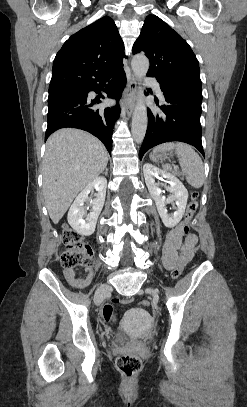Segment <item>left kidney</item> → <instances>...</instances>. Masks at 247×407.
Wrapping results in <instances>:
<instances>
[{
    "label": "left kidney",
    "mask_w": 247,
    "mask_h": 407,
    "mask_svg": "<svg viewBox=\"0 0 247 407\" xmlns=\"http://www.w3.org/2000/svg\"><path fill=\"white\" fill-rule=\"evenodd\" d=\"M143 172L149 193L156 203L157 210L163 224L168 228L176 226L182 219L185 212L188 199L187 189L176 176L159 169L151 163L144 164ZM155 178L167 179V183L170 186H166V190L171 193L169 197L166 198L162 195V190L159 188L160 184L155 182ZM171 202H175L177 205L173 216H169L166 209V205Z\"/></svg>",
    "instance_id": "left-kidney-1"
}]
</instances>
